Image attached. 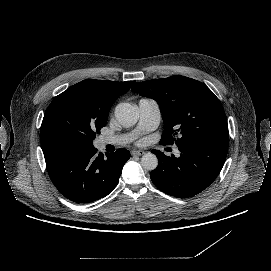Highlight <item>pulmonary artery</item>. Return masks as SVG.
Wrapping results in <instances>:
<instances>
[{"mask_svg": "<svg viewBox=\"0 0 271 271\" xmlns=\"http://www.w3.org/2000/svg\"><path fill=\"white\" fill-rule=\"evenodd\" d=\"M160 121V109L156 101L142 98L139 101V124L135 132L130 135L121 136H100L95 142L94 146L97 149H103L108 145H122L131 141L140 133L148 132L157 127ZM178 156L179 151L175 150Z\"/></svg>", "mask_w": 271, "mask_h": 271, "instance_id": "pulmonary-artery-1", "label": "pulmonary artery"}]
</instances>
